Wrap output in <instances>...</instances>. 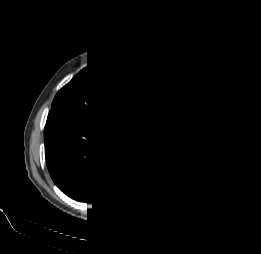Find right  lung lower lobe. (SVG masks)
Segmentation results:
<instances>
[{
	"instance_id": "right-lung-lower-lobe-1",
	"label": "right lung lower lobe",
	"mask_w": 261,
	"mask_h": 254,
	"mask_svg": "<svg viewBox=\"0 0 261 254\" xmlns=\"http://www.w3.org/2000/svg\"><path fill=\"white\" fill-rule=\"evenodd\" d=\"M109 132L97 131L79 120L50 115L44 130L46 164L54 183L80 202L100 200L118 171L117 158L104 156ZM98 154L93 157L92 154ZM99 162L96 163V161Z\"/></svg>"
}]
</instances>
